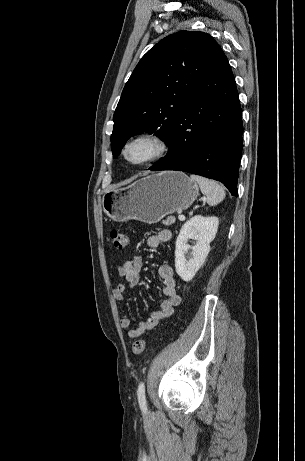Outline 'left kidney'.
<instances>
[{"mask_svg":"<svg viewBox=\"0 0 305 461\" xmlns=\"http://www.w3.org/2000/svg\"><path fill=\"white\" fill-rule=\"evenodd\" d=\"M219 220L215 216L192 217L181 228L176 240L175 269L186 282L191 281L204 264L210 252V243L214 240ZM195 240L194 246L188 240Z\"/></svg>","mask_w":305,"mask_h":461,"instance_id":"obj_1","label":"left kidney"}]
</instances>
